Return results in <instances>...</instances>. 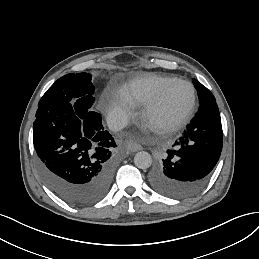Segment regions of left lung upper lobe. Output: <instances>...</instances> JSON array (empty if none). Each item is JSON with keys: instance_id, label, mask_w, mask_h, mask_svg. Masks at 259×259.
Wrapping results in <instances>:
<instances>
[{"instance_id": "left-lung-upper-lobe-1", "label": "left lung upper lobe", "mask_w": 259, "mask_h": 259, "mask_svg": "<svg viewBox=\"0 0 259 259\" xmlns=\"http://www.w3.org/2000/svg\"><path fill=\"white\" fill-rule=\"evenodd\" d=\"M193 83L197 89L198 97H199V104H206L211 101H216L214 95L200 82H198L196 79H193Z\"/></svg>"}]
</instances>
